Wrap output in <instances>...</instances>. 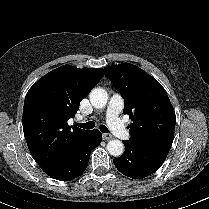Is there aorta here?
Returning a JSON list of instances; mask_svg holds the SVG:
<instances>
[{"label":"aorta","mask_w":209,"mask_h":209,"mask_svg":"<svg viewBox=\"0 0 209 209\" xmlns=\"http://www.w3.org/2000/svg\"><path fill=\"white\" fill-rule=\"evenodd\" d=\"M108 101V94L103 88H94L90 92V102L95 108H103ZM107 150L110 155L118 157L124 152V144L117 139L110 140L107 143Z\"/></svg>","instance_id":"aorta-1"}]
</instances>
